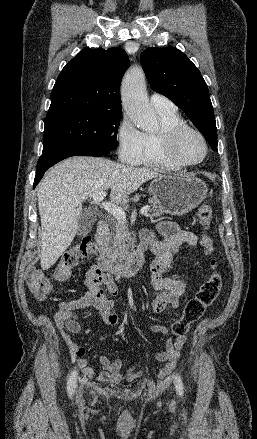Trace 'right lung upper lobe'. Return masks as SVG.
Masks as SVG:
<instances>
[{
    "mask_svg": "<svg viewBox=\"0 0 257 439\" xmlns=\"http://www.w3.org/2000/svg\"><path fill=\"white\" fill-rule=\"evenodd\" d=\"M128 66L121 48L81 50L59 74L47 117L85 109L122 112L120 84Z\"/></svg>",
    "mask_w": 257,
    "mask_h": 439,
    "instance_id": "right-lung-upper-lobe-1",
    "label": "right lung upper lobe"
}]
</instances>
